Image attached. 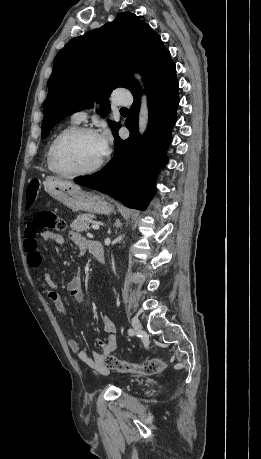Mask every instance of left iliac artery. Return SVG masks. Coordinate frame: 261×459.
Instances as JSON below:
<instances>
[{
	"mask_svg": "<svg viewBox=\"0 0 261 459\" xmlns=\"http://www.w3.org/2000/svg\"><path fill=\"white\" fill-rule=\"evenodd\" d=\"M128 333H129V335H134V330L129 329Z\"/></svg>",
	"mask_w": 261,
	"mask_h": 459,
	"instance_id": "obj_1",
	"label": "left iliac artery"
}]
</instances>
